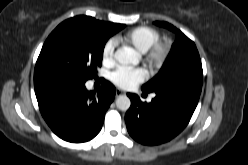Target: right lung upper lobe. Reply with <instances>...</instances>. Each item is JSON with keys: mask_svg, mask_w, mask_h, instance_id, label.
Returning a JSON list of instances; mask_svg holds the SVG:
<instances>
[{"mask_svg": "<svg viewBox=\"0 0 248 165\" xmlns=\"http://www.w3.org/2000/svg\"><path fill=\"white\" fill-rule=\"evenodd\" d=\"M70 20L78 21L89 28H92L94 30L100 31V32H110L114 30H121L124 24H117L112 22H104L94 19L93 17L89 16H76L73 18H70ZM40 83H34V86L37 87Z\"/></svg>", "mask_w": 248, "mask_h": 165, "instance_id": "obj_1", "label": "right lung upper lobe"}]
</instances>
